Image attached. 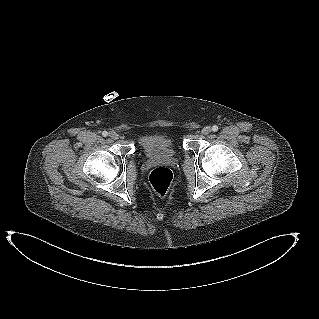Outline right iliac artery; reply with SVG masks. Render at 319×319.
<instances>
[{"label": "right iliac artery", "instance_id": "right-iliac-artery-1", "mask_svg": "<svg viewBox=\"0 0 319 319\" xmlns=\"http://www.w3.org/2000/svg\"><path fill=\"white\" fill-rule=\"evenodd\" d=\"M102 135H103L104 137H106V136H108V132H107V131H103V132H102Z\"/></svg>", "mask_w": 319, "mask_h": 319}]
</instances>
